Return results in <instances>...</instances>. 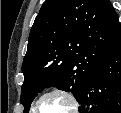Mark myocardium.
Returning <instances> with one entry per match:
<instances>
[{
  "instance_id": "myocardium-1",
  "label": "myocardium",
  "mask_w": 121,
  "mask_h": 113,
  "mask_svg": "<svg viewBox=\"0 0 121 113\" xmlns=\"http://www.w3.org/2000/svg\"><path fill=\"white\" fill-rule=\"evenodd\" d=\"M52 95H59L62 98H64L69 104H70V112L68 113H73V111L78 110L79 104L78 101L76 99V97L71 94L70 92H68L65 89L62 88H55L52 89L50 91H47L45 93H43L35 102L34 106H33V110L35 111V113L38 112V107L40 105V103L47 97L52 96Z\"/></svg>"
}]
</instances>
